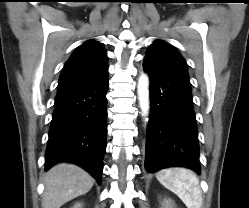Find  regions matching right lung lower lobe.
I'll return each instance as SVG.
<instances>
[{"label": "right lung lower lobe", "instance_id": "98d812e1", "mask_svg": "<svg viewBox=\"0 0 249 208\" xmlns=\"http://www.w3.org/2000/svg\"><path fill=\"white\" fill-rule=\"evenodd\" d=\"M108 74L84 86L58 92L45 154V171L75 163L101 183L107 136Z\"/></svg>", "mask_w": 249, "mask_h": 208}]
</instances>
